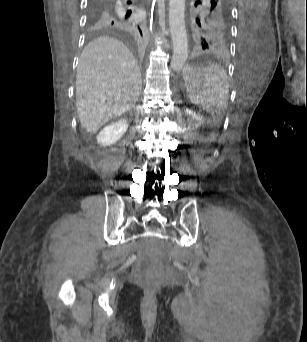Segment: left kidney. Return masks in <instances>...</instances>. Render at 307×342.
I'll use <instances>...</instances> for the list:
<instances>
[{"label": "left kidney", "instance_id": "1", "mask_svg": "<svg viewBox=\"0 0 307 342\" xmlns=\"http://www.w3.org/2000/svg\"><path fill=\"white\" fill-rule=\"evenodd\" d=\"M187 114H189V116H192V118H194V120H198V122H202V118H200V116H197V114H195V112H192V110H186Z\"/></svg>", "mask_w": 307, "mask_h": 342}]
</instances>
